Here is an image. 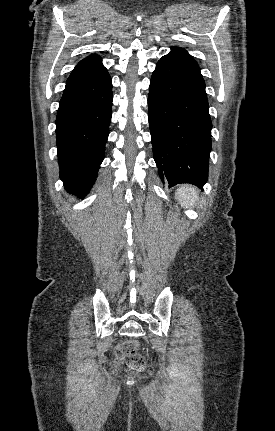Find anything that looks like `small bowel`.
Instances as JSON below:
<instances>
[{
	"mask_svg": "<svg viewBox=\"0 0 275 431\" xmlns=\"http://www.w3.org/2000/svg\"><path fill=\"white\" fill-rule=\"evenodd\" d=\"M116 355H117L118 357H122V353H121V346L117 347V349H116Z\"/></svg>",
	"mask_w": 275,
	"mask_h": 431,
	"instance_id": "c3829d8e",
	"label": "small bowel"
}]
</instances>
